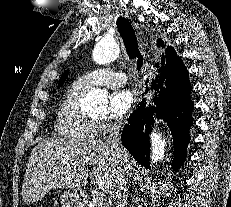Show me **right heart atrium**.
I'll return each instance as SVG.
<instances>
[{
  "label": "right heart atrium",
  "mask_w": 231,
  "mask_h": 207,
  "mask_svg": "<svg viewBox=\"0 0 231 207\" xmlns=\"http://www.w3.org/2000/svg\"><path fill=\"white\" fill-rule=\"evenodd\" d=\"M97 126V133H101L113 129L116 126V124L110 120H101L97 122Z\"/></svg>",
  "instance_id": "obj_1"
}]
</instances>
